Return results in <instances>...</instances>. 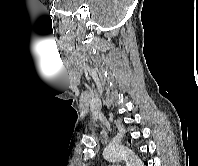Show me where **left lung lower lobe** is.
Returning a JSON list of instances; mask_svg holds the SVG:
<instances>
[{"instance_id":"obj_1","label":"left lung lower lobe","mask_w":198,"mask_h":166,"mask_svg":"<svg viewBox=\"0 0 198 166\" xmlns=\"http://www.w3.org/2000/svg\"><path fill=\"white\" fill-rule=\"evenodd\" d=\"M145 165H146V166L148 165L147 162H145Z\"/></svg>"}]
</instances>
